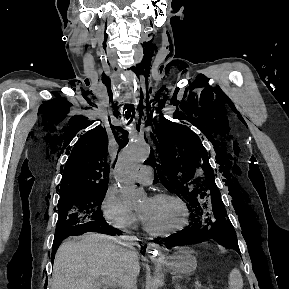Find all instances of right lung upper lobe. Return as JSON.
Returning <instances> with one entry per match:
<instances>
[{
	"label": "right lung upper lobe",
	"mask_w": 289,
	"mask_h": 289,
	"mask_svg": "<svg viewBox=\"0 0 289 289\" xmlns=\"http://www.w3.org/2000/svg\"><path fill=\"white\" fill-rule=\"evenodd\" d=\"M107 138L100 126L85 134L64 167L60 196L108 188Z\"/></svg>",
	"instance_id": "obj_1"
}]
</instances>
